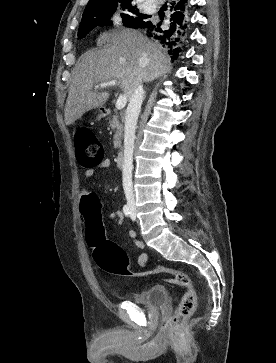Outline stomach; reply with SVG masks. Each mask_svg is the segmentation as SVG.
I'll return each mask as SVG.
<instances>
[{"label": "stomach", "mask_w": 276, "mask_h": 363, "mask_svg": "<svg viewBox=\"0 0 276 363\" xmlns=\"http://www.w3.org/2000/svg\"><path fill=\"white\" fill-rule=\"evenodd\" d=\"M102 116H103V112H102V111H100V113H99L98 117H99V118H101Z\"/></svg>", "instance_id": "stomach-1"}]
</instances>
